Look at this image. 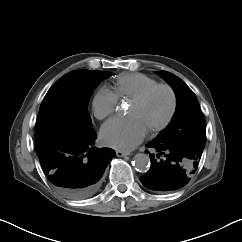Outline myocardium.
<instances>
[{
    "instance_id": "f54148a6",
    "label": "myocardium",
    "mask_w": 242,
    "mask_h": 242,
    "mask_svg": "<svg viewBox=\"0 0 242 242\" xmlns=\"http://www.w3.org/2000/svg\"><path fill=\"white\" fill-rule=\"evenodd\" d=\"M159 89H165L167 90L170 95H171V99H172V105H171V110L169 112V115L167 116V118L160 124L152 127L148 132L150 134H156L159 133L163 130H165L174 120L177 110H178V96L177 93L175 91V89L169 85V84H165V83H158L148 89H146L145 91H143L141 94H139L138 96L134 97L131 101L134 103H143L145 102L155 91L159 90Z\"/></svg>"
}]
</instances>
